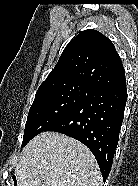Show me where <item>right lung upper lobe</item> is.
I'll return each mask as SVG.
<instances>
[{"label":"right lung upper lobe","instance_id":"cb5924a9","mask_svg":"<svg viewBox=\"0 0 138 186\" xmlns=\"http://www.w3.org/2000/svg\"><path fill=\"white\" fill-rule=\"evenodd\" d=\"M125 83L124 68L112 42L100 32L87 29L68 43L37 93L71 85L97 89Z\"/></svg>","mask_w":138,"mask_h":186}]
</instances>
